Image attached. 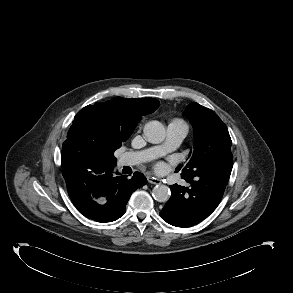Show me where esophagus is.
I'll return each instance as SVG.
<instances>
[{
    "label": "esophagus",
    "instance_id": "esophagus-1",
    "mask_svg": "<svg viewBox=\"0 0 293 293\" xmlns=\"http://www.w3.org/2000/svg\"><path fill=\"white\" fill-rule=\"evenodd\" d=\"M148 182L151 183V184H160L161 180L159 178L149 176L148 177Z\"/></svg>",
    "mask_w": 293,
    "mask_h": 293
}]
</instances>
